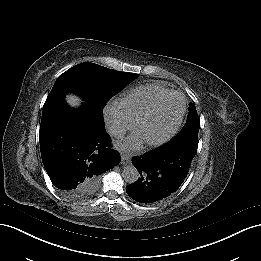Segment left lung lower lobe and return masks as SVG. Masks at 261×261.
<instances>
[{"mask_svg":"<svg viewBox=\"0 0 261 261\" xmlns=\"http://www.w3.org/2000/svg\"><path fill=\"white\" fill-rule=\"evenodd\" d=\"M196 151L186 143L171 141L140 157H133L132 164L140 178L126 187L127 194L143 204L166 200L186 178Z\"/></svg>","mask_w":261,"mask_h":261,"instance_id":"0a47b994","label":"left lung lower lobe"}]
</instances>
